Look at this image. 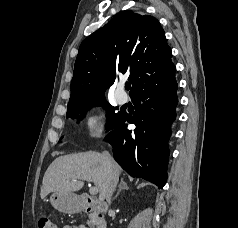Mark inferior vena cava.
Returning <instances> with one entry per match:
<instances>
[{"mask_svg": "<svg viewBox=\"0 0 238 228\" xmlns=\"http://www.w3.org/2000/svg\"><path fill=\"white\" fill-rule=\"evenodd\" d=\"M104 159L110 171V179L106 188V201L110 205L111 197L118 182V177L114 172V161L108 151L103 152Z\"/></svg>", "mask_w": 238, "mask_h": 228, "instance_id": "602c4592", "label": "inferior vena cava"}]
</instances>
